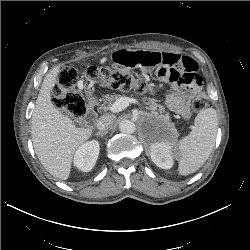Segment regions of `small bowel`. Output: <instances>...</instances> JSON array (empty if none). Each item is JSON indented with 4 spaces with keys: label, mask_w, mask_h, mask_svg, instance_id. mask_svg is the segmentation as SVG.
<instances>
[{
    "label": "small bowel",
    "mask_w": 250,
    "mask_h": 250,
    "mask_svg": "<svg viewBox=\"0 0 250 250\" xmlns=\"http://www.w3.org/2000/svg\"><path fill=\"white\" fill-rule=\"evenodd\" d=\"M112 58L116 67L154 70L160 81L173 87V92L166 98L167 106L184 118L189 116L190 102L202 85L193 59L175 53L144 50H119Z\"/></svg>",
    "instance_id": "obj_1"
}]
</instances>
